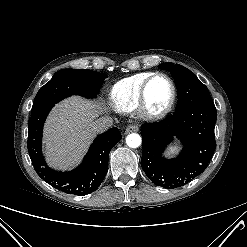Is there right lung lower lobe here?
<instances>
[{"instance_id": "obj_1", "label": "right lung lower lobe", "mask_w": 247, "mask_h": 247, "mask_svg": "<svg viewBox=\"0 0 247 247\" xmlns=\"http://www.w3.org/2000/svg\"><path fill=\"white\" fill-rule=\"evenodd\" d=\"M54 105L31 112L27 147L38 175L68 194L86 195L95 191L108 171L109 152L122 138L119 129L111 128L91 144L82 164L71 172H57L49 168L42 155V130L45 119Z\"/></svg>"}]
</instances>
